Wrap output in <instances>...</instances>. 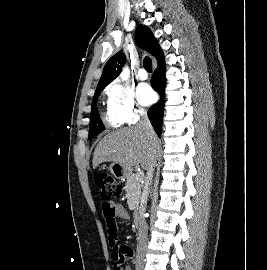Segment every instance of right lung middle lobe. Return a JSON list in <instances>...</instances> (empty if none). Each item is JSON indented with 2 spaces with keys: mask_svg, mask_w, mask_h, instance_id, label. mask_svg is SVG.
<instances>
[{
  "mask_svg": "<svg viewBox=\"0 0 267 270\" xmlns=\"http://www.w3.org/2000/svg\"><path fill=\"white\" fill-rule=\"evenodd\" d=\"M99 95L100 92H96L93 97L91 118L89 124V139H92L94 136H96L98 133L102 132L105 129L97 109V99Z\"/></svg>",
  "mask_w": 267,
  "mask_h": 270,
  "instance_id": "obj_1",
  "label": "right lung middle lobe"
}]
</instances>
